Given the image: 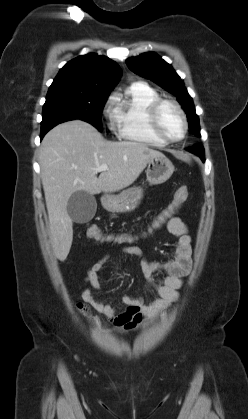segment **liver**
<instances>
[{
    "label": "liver",
    "mask_w": 248,
    "mask_h": 419,
    "mask_svg": "<svg viewBox=\"0 0 248 419\" xmlns=\"http://www.w3.org/2000/svg\"><path fill=\"white\" fill-rule=\"evenodd\" d=\"M162 152L139 142H110L81 120L62 123L43 138L39 163L53 250L64 261L73 241V220L67 204L76 191L116 192L131 185L152 157ZM102 164L108 170L94 169Z\"/></svg>",
    "instance_id": "1"
}]
</instances>
